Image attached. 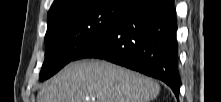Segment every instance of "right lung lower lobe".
Here are the masks:
<instances>
[{
	"mask_svg": "<svg viewBox=\"0 0 221 102\" xmlns=\"http://www.w3.org/2000/svg\"><path fill=\"white\" fill-rule=\"evenodd\" d=\"M177 17L172 0H142L75 60L99 58L166 83L179 98Z\"/></svg>",
	"mask_w": 221,
	"mask_h": 102,
	"instance_id": "obj_1",
	"label": "right lung lower lobe"
}]
</instances>
